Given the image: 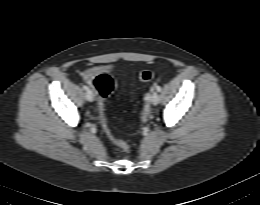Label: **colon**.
I'll list each match as a JSON object with an SVG mask.
<instances>
[{"instance_id": "5ec220e1", "label": "colon", "mask_w": 260, "mask_h": 205, "mask_svg": "<svg viewBox=\"0 0 260 205\" xmlns=\"http://www.w3.org/2000/svg\"><path fill=\"white\" fill-rule=\"evenodd\" d=\"M154 78V72L149 69H144L139 73L141 82H149ZM93 86L100 97L99 108L102 112V126L108 137L122 150L129 151L128 144L121 139L110 127L104 112L106 108V100L113 93L116 82L114 78L107 73H99L93 82Z\"/></svg>"}]
</instances>
